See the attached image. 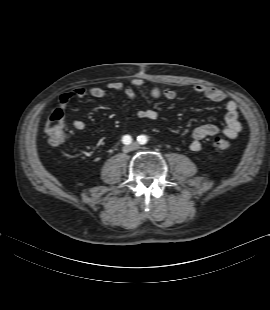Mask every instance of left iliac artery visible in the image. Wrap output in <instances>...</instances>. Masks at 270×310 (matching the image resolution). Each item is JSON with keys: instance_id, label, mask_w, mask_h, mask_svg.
Returning a JSON list of instances; mask_svg holds the SVG:
<instances>
[{"instance_id": "left-iliac-artery-1", "label": "left iliac artery", "mask_w": 270, "mask_h": 310, "mask_svg": "<svg viewBox=\"0 0 270 310\" xmlns=\"http://www.w3.org/2000/svg\"><path fill=\"white\" fill-rule=\"evenodd\" d=\"M137 140H138V142H139L140 144L143 145V144H146V143H147L148 138H147L145 135H140V136H138Z\"/></svg>"}]
</instances>
